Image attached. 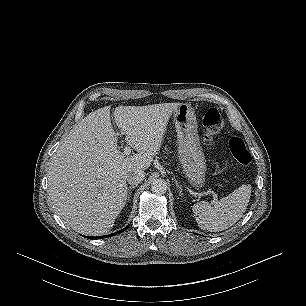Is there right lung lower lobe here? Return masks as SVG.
<instances>
[{
  "label": "right lung lower lobe",
  "mask_w": 306,
  "mask_h": 306,
  "mask_svg": "<svg viewBox=\"0 0 306 306\" xmlns=\"http://www.w3.org/2000/svg\"><path fill=\"white\" fill-rule=\"evenodd\" d=\"M127 228H128V226H127L126 228H124V229L118 231V232L113 233V234H109V235H105V236H101V237H89V238H90V239H100V238H105V237L114 236V235H117V234H119V233L125 231Z\"/></svg>",
  "instance_id": "98d812e1"
}]
</instances>
